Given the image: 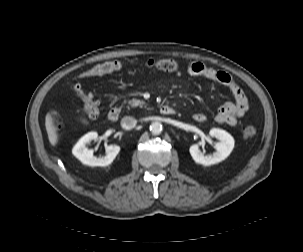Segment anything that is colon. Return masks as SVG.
Masks as SVG:
<instances>
[{
	"instance_id": "5ec220e1",
	"label": "colon",
	"mask_w": 303,
	"mask_h": 252,
	"mask_svg": "<svg viewBox=\"0 0 303 252\" xmlns=\"http://www.w3.org/2000/svg\"><path fill=\"white\" fill-rule=\"evenodd\" d=\"M145 66L151 69L162 70L166 72H178L180 70V64L172 59H150L145 62ZM123 68V64L118 60L106 61L104 63L96 64L90 69L83 72L78 78H85L89 76H99L105 74L115 73ZM74 88L82 97V112L89 116L95 117L98 114V104L93 99L92 95L85 94L81 90V86L79 84H75ZM59 102L62 105H73L78 106L79 102L75 99H71L65 95L59 98ZM54 121V125L56 128L60 127V123L54 116H51ZM257 129L253 125H248L243 130V135L246 138H252L256 135Z\"/></svg>"
}]
</instances>
